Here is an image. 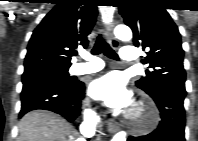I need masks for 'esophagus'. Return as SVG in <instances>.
Returning <instances> with one entry per match:
<instances>
[{"label": "esophagus", "instance_id": "obj_1", "mask_svg": "<svg viewBox=\"0 0 198 141\" xmlns=\"http://www.w3.org/2000/svg\"><path fill=\"white\" fill-rule=\"evenodd\" d=\"M107 31H108V41H109V44L114 49H118L119 48V42L115 38V36L113 34V24H111V25L108 26ZM118 129H119V124L116 121H114L113 119H111L108 122V131L110 133H115Z\"/></svg>", "mask_w": 198, "mask_h": 141}]
</instances>
